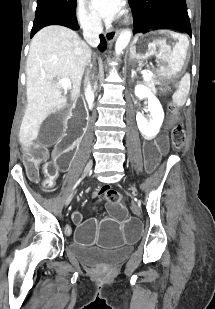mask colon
<instances>
[{
    "instance_id": "5ec220e1",
    "label": "colon",
    "mask_w": 215,
    "mask_h": 309,
    "mask_svg": "<svg viewBox=\"0 0 215 309\" xmlns=\"http://www.w3.org/2000/svg\"><path fill=\"white\" fill-rule=\"evenodd\" d=\"M170 110L175 114L177 109L174 105L170 106ZM171 140L176 149H181L185 142L184 126L181 122L176 121L172 127ZM37 161L33 158H29L26 162V168L29 174H35L37 171ZM46 178L43 181V187L45 189H51L54 186L55 180L58 174V167L55 162L48 163L45 167ZM104 195L112 203L119 202L120 195L115 191H106Z\"/></svg>"
}]
</instances>
